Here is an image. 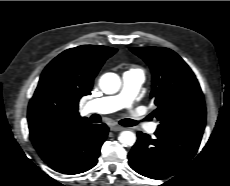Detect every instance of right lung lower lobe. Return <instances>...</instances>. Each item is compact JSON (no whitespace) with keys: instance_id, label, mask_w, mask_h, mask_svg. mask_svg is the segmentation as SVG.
<instances>
[{"instance_id":"obj_1","label":"right lung lower lobe","mask_w":230,"mask_h":186,"mask_svg":"<svg viewBox=\"0 0 230 186\" xmlns=\"http://www.w3.org/2000/svg\"><path fill=\"white\" fill-rule=\"evenodd\" d=\"M107 134L105 124L88 122L38 153L57 172L69 175L83 173L96 165Z\"/></svg>"}]
</instances>
